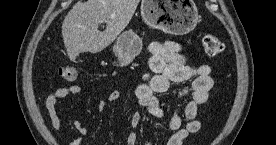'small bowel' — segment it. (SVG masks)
I'll return each instance as SVG.
<instances>
[{"mask_svg":"<svg viewBox=\"0 0 276 145\" xmlns=\"http://www.w3.org/2000/svg\"><path fill=\"white\" fill-rule=\"evenodd\" d=\"M148 53L147 70L143 75L144 81L131 94L136 111L131 117L130 124L134 129L138 127L146 111L156 120L166 121V127L171 132L165 137L166 145H182L190 134L198 132L201 128L197 115L199 108L208 101L214 87L212 69L207 64L189 65L182 45L174 41L151 42L148 46ZM187 80H192L191 85L178 89L176 96L178 98L189 97L190 100L182 111L173 112L166 119L167 115L158 95L166 93L171 84ZM80 90L77 85L64 86L45 98L44 107L54 131L62 129V122L57 111L58 101L78 94ZM121 96L122 93L119 90H113L109 93L107 100L114 102ZM106 105L107 102L101 100L98 103V109L102 111ZM73 125L78 136L70 145H80L82 137L88 134V128L80 120H74ZM137 138L136 132L131 131L122 145H136ZM145 145H151V143L148 142Z\"/></svg>","mask_w":276,"mask_h":145,"instance_id":"obj_1","label":"small bowel"}]
</instances>
